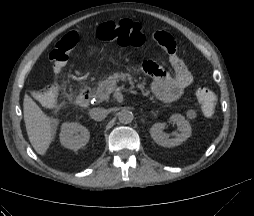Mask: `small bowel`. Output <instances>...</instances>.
<instances>
[{
  "label": "small bowel",
  "instance_id": "small-bowel-1",
  "mask_svg": "<svg viewBox=\"0 0 254 216\" xmlns=\"http://www.w3.org/2000/svg\"><path fill=\"white\" fill-rule=\"evenodd\" d=\"M149 44L164 52L165 59L175 73L162 69L153 61H143L141 69L151 76V90L158 99L164 102L175 101L191 85L193 76L177 54L176 42L167 31H153L149 37Z\"/></svg>",
  "mask_w": 254,
  "mask_h": 216
}]
</instances>
